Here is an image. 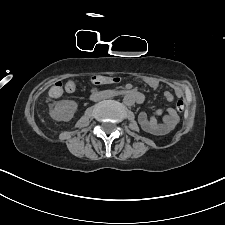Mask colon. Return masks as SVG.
<instances>
[{
	"instance_id": "1",
	"label": "colon",
	"mask_w": 225,
	"mask_h": 225,
	"mask_svg": "<svg viewBox=\"0 0 225 225\" xmlns=\"http://www.w3.org/2000/svg\"><path fill=\"white\" fill-rule=\"evenodd\" d=\"M119 77H111V76H104V75H96L93 76L91 81L95 85H101V84H111V83H118L120 82ZM65 90L68 93H74L78 90V84L75 81H69L65 85ZM63 93V85L61 82L55 83L50 91L49 94L53 98H58L62 95ZM176 108L178 111L182 112L185 108V104L183 100H178L176 104Z\"/></svg>"
}]
</instances>
